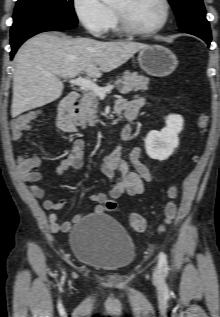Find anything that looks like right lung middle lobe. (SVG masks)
<instances>
[{
  "label": "right lung middle lobe",
  "instance_id": "right-lung-middle-lobe-1",
  "mask_svg": "<svg viewBox=\"0 0 220 317\" xmlns=\"http://www.w3.org/2000/svg\"><path fill=\"white\" fill-rule=\"evenodd\" d=\"M42 19H59L77 24L73 0H18L11 31L25 23Z\"/></svg>",
  "mask_w": 220,
  "mask_h": 317
}]
</instances>
